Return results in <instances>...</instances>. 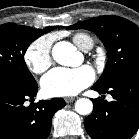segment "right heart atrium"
Listing matches in <instances>:
<instances>
[{"mask_svg": "<svg viewBox=\"0 0 139 139\" xmlns=\"http://www.w3.org/2000/svg\"><path fill=\"white\" fill-rule=\"evenodd\" d=\"M52 41L42 36L31 42L24 52V62L28 69L36 74L45 72L52 64Z\"/></svg>", "mask_w": 139, "mask_h": 139, "instance_id": "obj_1", "label": "right heart atrium"}]
</instances>
